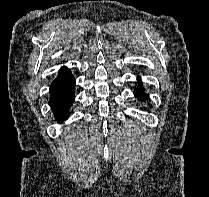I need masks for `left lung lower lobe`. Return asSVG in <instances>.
<instances>
[{
    "label": "left lung lower lobe",
    "mask_w": 209,
    "mask_h": 197,
    "mask_svg": "<svg viewBox=\"0 0 209 197\" xmlns=\"http://www.w3.org/2000/svg\"><path fill=\"white\" fill-rule=\"evenodd\" d=\"M139 80V86L138 88L135 90L134 94L135 96L140 100V101H144V98H148V95L145 93L143 86L141 85L140 82V78H138Z\"/></svg>",
    "instance_id": "0a47b994"
}]
</instances>
